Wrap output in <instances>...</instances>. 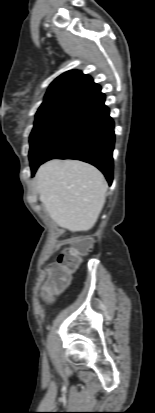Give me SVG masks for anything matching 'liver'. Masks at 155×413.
<instances>
[{
    "label": "liver",
    "instance_id": "6515ba94",
    "mask_svg": "<svg viewBox=\"0 0 155 413\" xmlns=\"http://www.w3.org/2000/svg\"><path fill=\"white\" fill-rule=\"evenodd\" d=\"M36 190L51 219L72 232L88 231L106 200L108 185L94 166L78 160H51L36 173Z\"/></svg>",
    "mask_w": 155,
    "mask_h": 413
}]
</instances>
